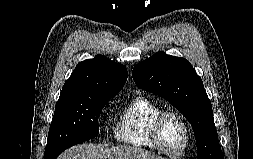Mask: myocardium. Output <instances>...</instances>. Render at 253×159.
<instances>
[{
    "label": "myocardium",
    "mask_w": 253,
    "mask_h": 159,
    "mask_svg": "<svg viewBox=\"0 0 253 159\" xmlns=\"http://www.w3.org/2000/svg\"><path fill=\"white\" fill-rule=\"evenodd\" d=\"M168 116L176 117L182 124L185 131V141L182 148L178 152H171L165 149L160 141V126L164 118ZM190 127L186 119L177 111L174 110H161L151 121L149 128V136L153 145L165 155L170 157H180L182 156L189 147L190 144Z\"/></svg>",
    "instance_id": "myocardium-1"
}]
</instances>
